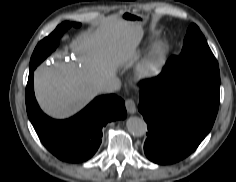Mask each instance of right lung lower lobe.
I'll return each mask as SVG.
<instances>
[{"instance_id":"98d812e1","label":"right lung lower lobe","mask_w":236,"mask_h":182,"mask_svg":"<svg viewBox=\"0 0 236 182\" xmlns=\"http://www.w3.org/2000/svg\"><path fill=\"white\" fill-rule=\"evenodd\" d=\"M26 86L28 117L43 145L62 161L78 163L91 158L101 144L102 128L108 122L126 117L125 103L114 94L99 96L75 116L54 120L36 102L33 71Z\"/></svg>"}]
</instances>
